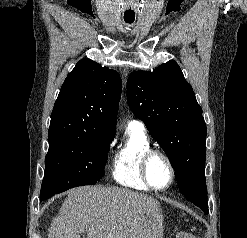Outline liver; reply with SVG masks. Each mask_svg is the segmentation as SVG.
Masks as SVG:
<instances>
[{"label":"liver","instance_id":"liver-1","mask_svg":"<svg viewBox=\"0 0 247 238\" xmlns=\"http://www.w3.org/2000/svg\"><path fill=\"white\" fill-rule=\"evenodd\" d=\"M163 216L157 200L118 187L83 186L68 191L48 238H158Z\"/></svg>","mask_w":247,"mask_h":238}]
</instances>
